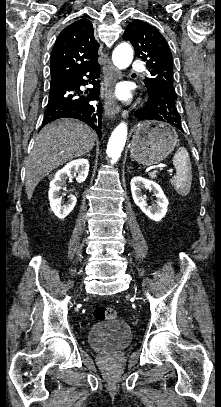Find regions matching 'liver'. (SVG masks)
<instances>
[{
  "label": "liver",
  "mask_w": 221,
  "mask_h": 407,
  "mask_svg": "<svg viewBox=\"0 0 221 407\" xmlns=\"http://www.w3.org/2000/svg\"><path fill=\"white\" fill-rule=\"evenodd\" d=\"M95 144L92 129L76 120L61 119L47 124L35 138L26 162L25 188L28 199L38 183L65 162L85 155Z\"/></svg>",
  "instance_id": "obj_1"
}]
</instances>
